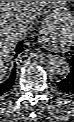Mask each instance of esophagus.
Returning a JSON list of instances; mask_svg holds the SVG:
<instances>
[{
  "instance_id": "34e87169",
  "label": "esophagus",
  "mask_w": 74,
  "mask_h": 122,
  "mask_svg": "<svg viewBox=\"0 0 74 122\" xmlns=\"http://www.w3.org/2000/svg\"><path fill=\"white\" fill-rule=\"evenodd\" d=\"M46 28H47V26L45 25V26L43 27V30H42V31H45V30H46Z\"/></svg>"
}]
</instances>
